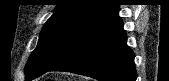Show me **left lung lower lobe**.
<instances>
[{
	"mask_svg": "<svg viewBox=\"0 0 169 81\" xmlns=\"http://www.w3.org/2000/svg\"><path fill=\"white\" fill-rule=\"evenodd\" d=\"M118 12L119 5L115 3L86 26L48 71H66L99 81H136L134 53L127 46Z\"/></svg>",
	"mask_w": 169,
	"mask_h": 81,
	"instance_id": "left-lung-lower-lobe-1",
	"label": "left lung lower lobe"
}]
</instances>
